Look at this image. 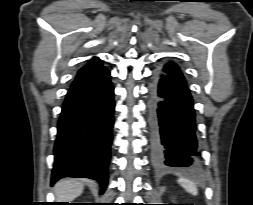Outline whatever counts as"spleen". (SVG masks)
I'll return each instance as SVG.
<instances>
[{"mask_svg": "<svg viewBox=\"0 0 253 205\" xmlns=\"http://www.w3.org/2000/svg\"><path fill=\"white\" fill-rule=\"evenodd\" d=\"M178 182L188 191L189 193L196 195L198 193L197 188L193 182L188 179L180 178Z\"/></svg>", "mask_w": 253, "mask_h": 205, "instance_id": "1", "label": "spleen"}]
</instances>
